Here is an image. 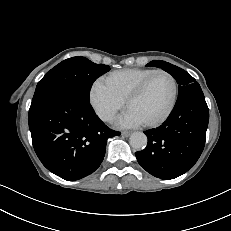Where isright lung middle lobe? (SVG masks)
I'll return each mask as SVG.
<instances>
[{"label": "right lung middle lobe", "mask_w": 231, "mask_h": 231, "mask_svg": "<svg viewBox=\"0 0 231 231\" xmlns=\"http://www.w3.org/2000/svg\"><path fill=\"white\" fill-rule=\"evenodd\" d=\"M109 70L108 65L95 64L84 57L66 59L48 71L38 82L31 106L60 90L73 91L89 99L93 82Z\"/></svg>", "instance_id": "1"}]
</instances>
